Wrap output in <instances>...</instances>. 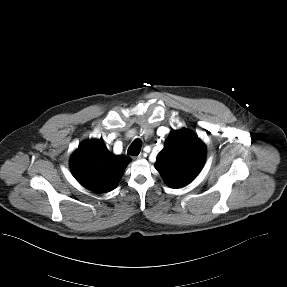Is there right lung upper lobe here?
<instances>
[{
  "label": "right lung upper lobe",
  "mask_w": 287,
  "mask_h": 287,
  "mask_svg": "<svg viewBox=\"0 0 287 287\" xmlns=\"http://www.w3.org/2000/svg\"><path fill=\"white\" fill-rule=\"evenodd\" d=\"M130 159L110 153L101 139L81 143L70 160V169L84 187L105 193L116 188Z\"/></svg>",
  "instance_id": "obj_1"
}]
</instances>
